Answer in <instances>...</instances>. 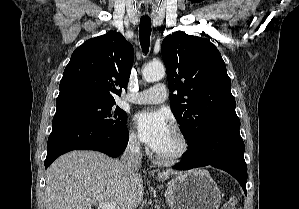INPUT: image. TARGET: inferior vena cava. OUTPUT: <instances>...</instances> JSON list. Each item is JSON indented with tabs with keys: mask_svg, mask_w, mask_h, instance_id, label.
<instances>
[{
	"mask_svg": "<svg viewBox=\"0 0 299 209\" xmlns=\"http://www.w3.org/2000/svg\"><path fill=\"white\" fill-rule=\"evenodd\" d=\"M142 154L140 142L137 138L129 139L127 147L121 157V163L124 168L131 174L135 173L141 167Z\"/></svg>",
	"mask_w": 299,
	"mask_h": 209,
	"instance_id": "inferior-vena-cava-1",
	"label": "inferior vena cava"
}]
</instances>
